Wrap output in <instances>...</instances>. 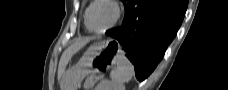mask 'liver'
Segmentation results:
<instances>
[{
	"mask_svg": "<svg viewBox=\"0 0 228 90\" xmlns=\"http://www.w3.org/2000/svg\"><path fill=\"white\" fill-rule=\"evenodd\" d=\"M91 39L90 38H80L76 39L73 44H71L62 54L59 66H58V80H61V88H63V78L65 74V69L74 54H76L81 48H83Z\"/></svg>",
	"mask_w": 228,
	"mask_h": 90,
	"instance_id": "1",
	"label": "liver"
}]
</instances>
